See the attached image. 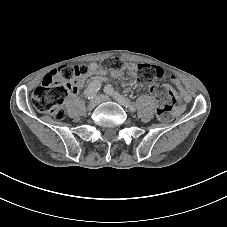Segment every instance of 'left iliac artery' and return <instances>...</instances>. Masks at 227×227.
<instances>
[{
  "instance_id": "left-iliac-artery-1",
  "label": "left iliac artery",
  "mask_w": 227,
  "mask_h": 227,
  "mask_svg": "<svg viewBox=\"0 0 227 227\" xmlns=\"http://www.w3.org/2000/svg\"><path fill=\"white\" fill-rule=\"evenodd\" d=\"M104 92L110 96H113L118 101H123L124 106H126V108L128 107L131 112L136 111V108L130 103V101L128 99H125L122 95L115 91L111 85L105 86Z\"/></svg>"
}]
</instances>
